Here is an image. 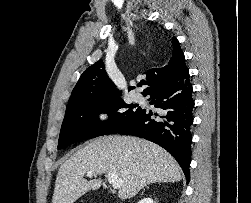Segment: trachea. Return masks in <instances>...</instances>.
<instances>
[{
  "label": "trachea",
  "mask_w": 251,
  "mask_h": 203,
  "mask_svg": "<svg viewBox=\"0 0 251 203\" xmlns=\"http://www.w3.org/2000/svg\"><path fill=\"white\" fill-rule=\"evenodd\" d=\"M144 84V82H141V83H139V86H142Z\"/></svg>",
  "instance_id": "obj_1"
}]
</instances>
